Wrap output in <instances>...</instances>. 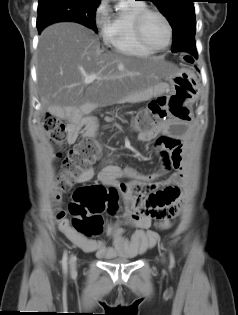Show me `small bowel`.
Instances as JSON below:
<instances>
[{
    "label": "small bowel",
    "mask_w": 238,
    "mask_h": 315,
    "mask_svg": "<svg viewBox=\"0 0 238 315\" xmlns=\"http://www.w3.org/2000/svg\"><path fill=\"white\" fill-rule=\"evenodd\" d=\"M83 126L91 133L97 122L91 119H72L68 136L70 143L76 141L79 130ZM165 132V127H157L150 131H140L137 135L139 142H150L151 147H156L160 158V168L157 171L141 173L130 166L116 165L109 158L102 159L97 177L103 184L118 190L124 205L121 215L106 230L107 235L112 239L111 245H107L103 240L88 238L83 233H76L64 212L57 211L56 220L60 231L77 247L86 252H95L103 259L135 257L155 245L159 239L158 234L150 229L153 219L160 222L162 229L172 225L180 206L178 185L186 179V168L183 141L156 137L159 133ZM171 170L175 172L165 180H160ZM94 176V169L89 167L81 171L74 182L87 183ZM54 202L56 204L60 202L59 193L54 196ZM126 225L136 228L130 238L125 236Z\"/></svg>",
    "instance_id": "small-bowel-1"
}]
</instances>
